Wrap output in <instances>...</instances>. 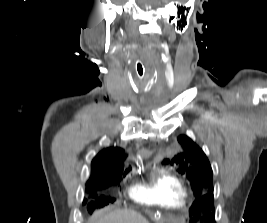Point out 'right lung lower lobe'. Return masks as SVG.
<instances>
[{"label": "right lung lower lobe", "mask_w": 267, "mask_h": 223, "mask_svg": "<svg viewBox=\"0 0 267 223\" xmlns=\"http://www.w3.org/2000/svg\"><path fill=\"white\" fill-rule=\"evenodd\" d=\"M106 187H109V186H105L104 184L98 183V182L88 181L87 186H86V191L94 193V190L103 189Z\"/></svg>", "instance_id": "obj_1"}]
</instances>
